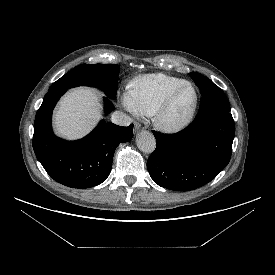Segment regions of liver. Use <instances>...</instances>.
Wrapping results in <instances>:
<instances>
[{"label":"liver","instance_id":"6515ba94","mask_svg":"<svg viewBox=\"0 0 275 275\" xmlns=\"http://www.w3.org/2000/svg\"><path fill=\"white\" fill-rule=\"evenodd\" d=\"M101 105L97 93L89 88H77L59 102L54 114L56 133L66 139L86 135L101 118Z\"/></svg>","mask_w":275,"mask_h":275}]
</instances>
